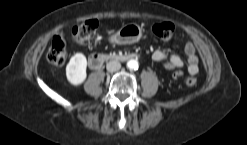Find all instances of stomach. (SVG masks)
I'll return each instance as SVG.
<instances>
[{"instance_id":"0dacf381","label":"stomach","mask_w":247,"mask_h":145,"mask_svg":"<svg viewBox=\"0 0 247 145\" xmlns=\"http://www.w3.org/2000/svg\"><path fill=\"white\" fill-rule=\"evenodd\" d=\"M142 37V29L137 24H128L121 27L110 37V41L119 45L133 44Z\"/></svg>"}]
</instances>
